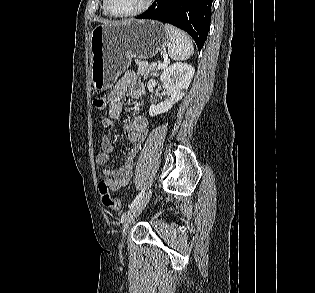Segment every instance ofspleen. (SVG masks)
Segmentation results:
<instances>
[{"mask_svg": "<svg viewBox=\"0 0 315 293\" xmlns=\"http://www.w3.org/2000/svg\"><path fill=\"white\" fill-rule=\"evenodd\" d=\"M164 29L169 38L168 55L175 61L188 59L194 53V47L191 38L170 24H165Z\"/></svg>", "mask_w": 315, "mask_h": 293, "instance_id": "1", "label": "spleen"}]
</instances>
